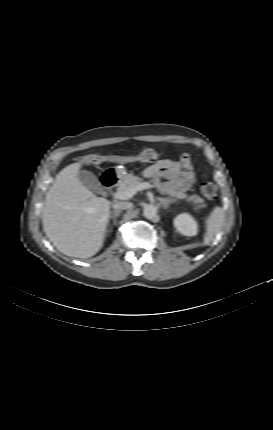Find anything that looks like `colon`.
<instances>
[{
  "mask_svg": "<svg viewBox=\"0 0 273 430\" xmlns=\"http://www.w3.org/2000/svg\"><path fill=\"white\" fill-rule=\"evenodd\" d=\"M158 157V153L153 149H145L134 155L127 156H107L101 154H89L82 158L85 165H98L106 162H152ZM190 165V160H184ZM203 196L209 200H213L217 195V187L212 182H204L200 187Z\"/></svg>",
  "mask_w": 273,
  "mask_h": 430,
  "instance_id": "obj_1",
  "label": "colon"
}]
</instances>
